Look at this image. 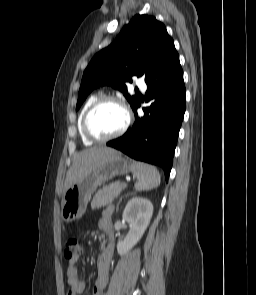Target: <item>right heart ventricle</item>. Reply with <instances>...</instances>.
<instances>
[{"label": "right heart ventricle", "instance_id": "obj_1", "mask_svg": "<svg viewBox=\"0 0 256 295\" xmlns=\"http://www.w3.org/2000/svg\"><path fill=\"white\" fill-rule=\"evenodd\" d=\"M101 95L100 94H94V95H91L85 102L81 112H80V115H79V118H78V131H79V134L81 136V139L83 141V143L85 145H91L93 142L90 141L84 134L83 132V129H82V120H83V116L87 110V108L92 104V102H94L97 98H99Z\"/></svg>", "mask_w": 256, "mask_h": 295}]
</instances>
